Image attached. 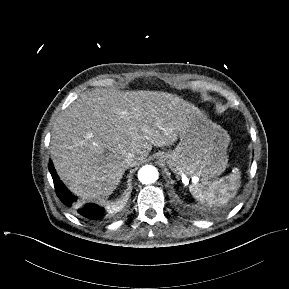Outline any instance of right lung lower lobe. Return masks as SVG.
Listing matches in <instances>:
<instances>
[{
    "label": "right lung lower lobe",
    "instance_id": "right-lung-lower-lobe-1",
    "mask_svg": "<svg viewBox=\"0 0 289 289\" xmlns=\"http://www.w3.org/2000/svg\"><path fill=\"white\" fill-rule=\"evenodd\" d=\"M48 167L53 178L56 194L66 206L72 207L80 217L92 222H100L107 218L108 212L105 207L95 203H81L77 201V198L59 180L51 160Z\"/></svg>",
    "mask_w": 289,
    "mask_h": 289
}]
</instances>
